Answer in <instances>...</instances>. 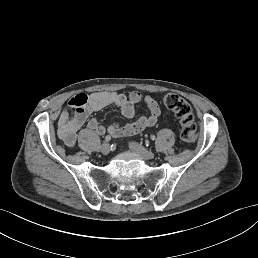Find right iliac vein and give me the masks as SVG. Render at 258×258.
<instances>
[{"label":"right iliac vein","instance_id":"63e3f726","mask_svg":"<svg viewBox=\"0 0 258 258\" xmlns=\"http://www.w3.org/2000/svg\"><path fill=\"white\" fill-rule=\"evenodd\" d=\"M100 151H101V153L104 154V155L109 154L110 151H111V145H110V143H108V142L102 143L101 146H100Z\"/></svg>","mask_w":258,"mask_h":258}]
</instances>
